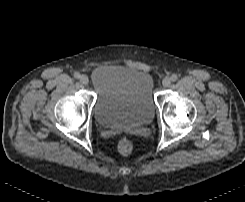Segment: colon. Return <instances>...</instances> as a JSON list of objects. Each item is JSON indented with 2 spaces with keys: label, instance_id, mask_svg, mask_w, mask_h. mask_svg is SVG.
Segmentation results:
<instances>
[{
  "label": "colon",
  "instance_id": "colon-1",
  "mask_svg": "<svg viewBox=\"0 0 245 202\" xmlns=\"http://www.w3.org/2000/svg\"><path fill=\"white\" fill-rule=\"evenodd\" d=\"M117 147H118V152L125 157L130 156L134 148L132 141L126 137L119 140Z\"/></svg>",
  "mask_w": 245,
  "mask_h": 202
}]
</instances>
